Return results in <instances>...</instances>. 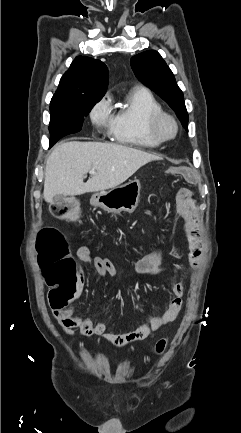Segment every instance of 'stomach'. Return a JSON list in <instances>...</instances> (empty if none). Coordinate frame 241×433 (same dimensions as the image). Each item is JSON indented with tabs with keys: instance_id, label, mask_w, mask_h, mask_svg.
<instances>
[{
	"instance_id": "0dacf381",
	"label": "stomach",
	"mask_w": 241,
	"mask_h": 433,
	"mask_svg": "<svg viewBox=\"0 0 241 433\" xmlns=\"http://www.w3.org/2000/svg\"><path fill=\"white\" fill-rule=\"evenodd\" d=\"M139 180L94 194L90 203L109 213L133 212L140 201Z\"/></svg>"
}]
</instances>
